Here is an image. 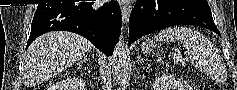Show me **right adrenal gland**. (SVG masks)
Listing matches in <instances>:
<instances>
[{
  "label": "right adrenal gland",
  "instance_id": "obj_1",
  "mask_svg": "<svg viewBox=\"0 0 237 90\" xmlns=\"http://www.w3.org/2000/svg\"><path fill=\"white\" fill-rule=\"evenodd\" d=\"M89 60V56H84V64H88Z\"/></svg>",
  "mask_w": 237,
  "mask_h": 90
}]
</instances>
